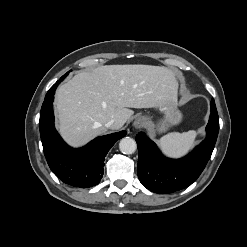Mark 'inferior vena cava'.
<instances>
[{
  "instance_id": "obj_1",
  "label": "inferior vena cava",
  "mask_w": 247,
  "mask_h": 247,
  "mask_svg": "<svg viewBox=\"0 0 247 247\" xmlns=\"http://www.w3.org/2000/svg\"><path fill=\"white\" fill-rule=\"evenodd\" d=\"M105 126L107 127V128H109V129H116L117 128V126H118V123L115 121V120H110V121H108L106 124H105Z\"/></svg>"
}]
</instances>
